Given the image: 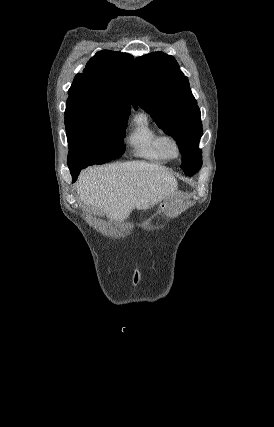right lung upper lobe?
<instances>
[{
  "instance_id": "right-lung-upper-lobe-1",
  "label": "right lung upper lobe",
  "mask_w": 274,
  "mask_h": 427,
  "mask_svg": "<svg viewBox=\"0 0 274 427\" xmlns=\"http://www.w3.org/2000/svg\"><path fill=\"white\" fill-rule=\"evenodd\" d=\"M134 58L127 53L99 51L75 76L68 94L66 110L84 106H122L131 108L126 97V82Z\"/></svg>"
}]
</instances>
